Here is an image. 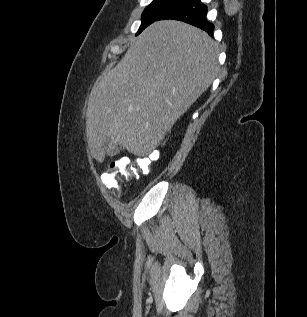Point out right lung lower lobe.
Here are the masks:
<instances>
[{
    "instance_id": "obj_1",
    "label": "right lung lower lobe",
    "mask_w": 307,
    "mask_h": 317,
    "mask_svg": "<svg viewBox=\"0 0 307 317\" xmlns=\"http://www.w3.org/2000/svg\"><path fill=\"white\" fill-rule=\"evenodd\" d=\"M207 6L200 0H174L155 20L174 19L201 28L212 36L214 25L207 21Z\"/></svg>"
}]
</instances>
